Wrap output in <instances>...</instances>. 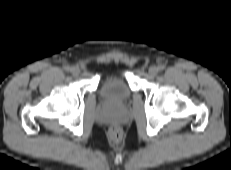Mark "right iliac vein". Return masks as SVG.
<instances>
[{"mask_svg": "<svg viewBox=\"0 0 231 170\" xmlns=\"http://www.w3.org/2000/svg\"><path fill=\"white\" fill-rule=\"evenodd\" d=\"M71 73L73 75H79L80 69L77 66H74V67L71 68Z\"/></svg>", "mask_w": 231, "mask_h": 170, "instance_id": "63e3f726", "label": "right iliac vein"}]
</instances>
